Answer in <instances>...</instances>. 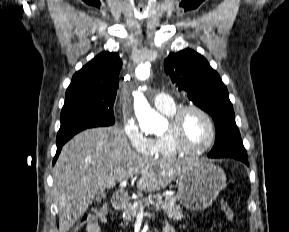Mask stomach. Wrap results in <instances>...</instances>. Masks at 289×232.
<instances>
[{"label":"stomach","instance_id":"0dacf381","mask_svg":"<svg viewBox=\"0 0 289 232\" xmlns=\"http://www.w3.org/2000/svg\"><path fill=\"white\" fill-rule=\"evenodd\" d=\"M225 184L223 169L204 161H192L179 175L177 197L187 209L201 211L213 203Z\"/></svg>","mask_w":289,"mask_h":232}]
</instances>
